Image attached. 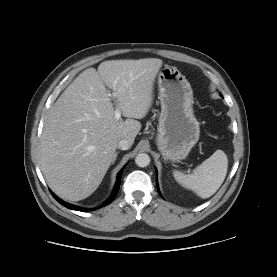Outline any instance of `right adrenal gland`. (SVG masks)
Here are the masks:
<instances>
[{"instance_id":"1","label":"right adrenal gland","mask_w":277,"mask_h":277,"mask_svg":"<svg viewBox=\"0 0 277 277\" xmlns=\"http://www.w3.org/2000/svg\"><path fill=\"white\" fill-rule=\"evenodd\" d=\"M118 153H119V152H116V154H115V156H114V159H113V161H112V164H114V162L116 161Z\"/></svg>"}]
</instances>
